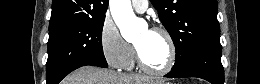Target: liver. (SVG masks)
<instances>
[{
  "mask_svg": "<svg viewBox=\"0 0 260 84\" xmlns=\"http://www.w3.org/2000/svg\"><path fill=\"white\" fill-rule=\"evenodd\" d=\"M64 84H158L145 75H126L110 69L85 66L72 72Z\"/></svg>",
  "mask_w": 260,
  "mask_h": 84,
  "instance_id": "6515ba94",
  "label": "liver"
}]
</instances>
